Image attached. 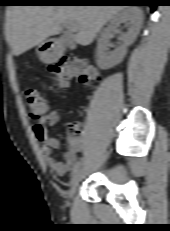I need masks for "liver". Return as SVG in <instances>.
<instances>
[{
    "mask_svg": "<svg viewBox=\"0 0 170 231\" xmlns=\"http://www.w3.org/2000/svg\"><path fill=\"white\" fill-rule=\"evenodd\" d=\"M121 5H21L6 12V39L12 53L19 56L61 33L64 26L74 28L75 41L87 46L114 15L126 9Z\"/></svg>",
    "mask_w": 170,
    "mask_h": 231,
    "instance_id": "liver-1",
    "label": "liver"
}]
</instances>
